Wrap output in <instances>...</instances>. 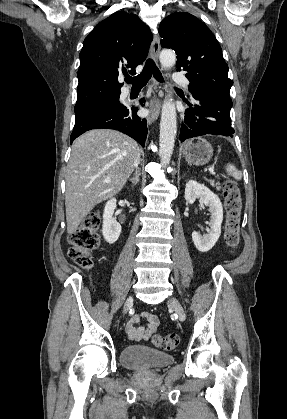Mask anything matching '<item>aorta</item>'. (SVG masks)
Wrapping results in <instances>:
<instances>
[{"mask_svg": "<svg viewBox=\"0 0 287 419\" xmlns=\"http://www.w3.org/2000/svg\"><path fill=\"white\" fill-rule=\"evenodd\" d=\"M160 62L164 69L172 68L176 63L175 52L170 49L162 50L160 53ZM176 133V107L172 99H166L162 106L159 137V155L163 166H167L170 162Z\"/></svg>", "mask_w": 287, "mask_h": 419, "instance_id": "1", "label": "aorta"}]
</instances>
